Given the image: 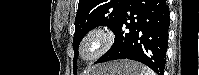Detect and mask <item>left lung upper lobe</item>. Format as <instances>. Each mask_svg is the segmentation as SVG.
<instances>
[{
  "label": "left lung upper lobe",
  "mask_w": 199,
  "mask_h": 75,
  "mask_svg": "<svg viewBox=\"0 0 199 75\" xmlns=\"http://www.w3.org/2000/svg\"><path fill=\"white\" fill-rule=\"evenodd\" d=\"M128 1L79 0L73 37V50L75 53L73 69L75 74L77 72L78 46L82 38L94 27L100 25L107 26L114 32Z\"/></svg>",
  "instance_id": "obj_1"
}]
</instances>
